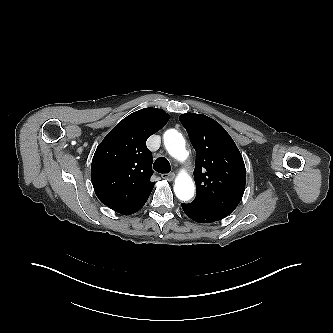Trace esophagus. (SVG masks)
<instances>
[{
	"mask_svg": "<svg viewBox=\"0 0 333 333\" xmlns=\"http://www.w3.org/2000/svg\"><path fill=\"white\" fill-rule=\"evenodd\" d=\"M162 178L168 180V181H173L175 178V174L174 173H169V174H162L161 175Z\"/></svg>",
	"mask_w": 333,
	"mask_h": 333,
	"instance_id": "obj_1",
	"label": "esophagus"
}]
</instances>
